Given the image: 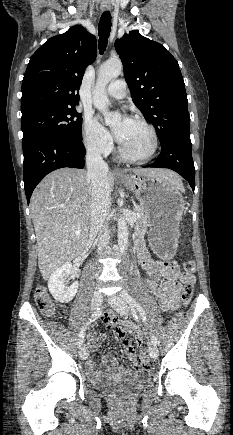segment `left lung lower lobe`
<instances>
[{"instance_id": "left-lung-lower-lobe-1", "label": "left lung lower lobe", "mask_w": 233, "mask_h": 435, "mask_svg": "<svg viewBox=\"0 0 233 435\" xmlns=\"http://www.w3.org/2000/svg\"><path fill=\"white\" fill-rule=\"evenodd\" d=\"M161 153L157 160L144 167L169 168L185 178L192 190L195 189V168L192 159L190 133L171 137L161 144Z\"/></svg>"}]
</instances>
